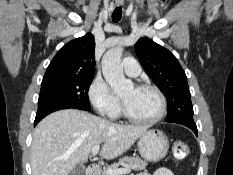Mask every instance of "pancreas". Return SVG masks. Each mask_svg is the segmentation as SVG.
Returning <instances> with one entry per match:
<instances>
[{
    "mask_svg": "<svg viewBox=\"0 0 233 175\" xmlns=\"http://www.w3.org/2000/svg\"><path fill=\"white\" fill-rule=\"evenodd\" d=\"M125 166L129 168L130 170H143L147 166V162L143 161L139 157H130V156H125L122 157L118 163L112 164L108 169H119V166ZM100 175H107L106 170L102 171Z\"/></svg>",
    "mask_w": 233,
    "mask_h": 175,
    "instance_id": "obj_1",
    "label": "pancreas"
}]
</instances>
